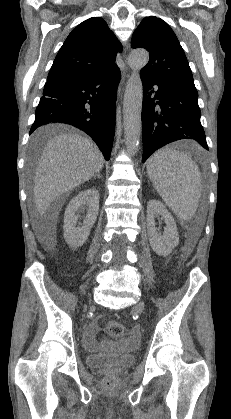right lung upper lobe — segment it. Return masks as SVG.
Returning a JSON list of instances; mask_svg holds the SVG:
<instances>
[{
    "label": "right lung upper lobe",
    "instance_id": "obj_1",
    "mask_svg": "<svg viewBox=\"0 0 231 419\" xmlns=\"http://www.w3.org/2000/svg\"><path fill=\"white\" fill-rule=\"evenodd\" d=\"M122 46L106 22L92 17L67 37L49 71L47 83L94 77L117 68ZM46 83V84H47Z\"/></svg>",
    "mask_w": 231,
    "mask_h": 419
}]
</instances>
